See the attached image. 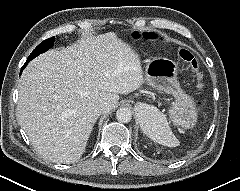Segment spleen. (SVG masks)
<instances>
[{"label": "spleen", "instance_id": "1", "mask_svg": "<svg viewBox=\"0 0 240 191\" xmlns=\"http://www.w3.org/2000/svg\"><path fill=\"white\" fill-rule=\"evenodd\" d=\"M140 126L142 131L153 141L167 146L176 147L179 140L173 134L166 116L153 106L139 113Z\"/></svg>", "mask_w": 240, "mask_h": 191}]
</instances>
